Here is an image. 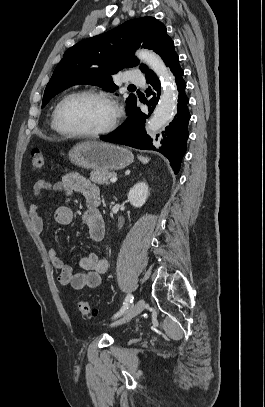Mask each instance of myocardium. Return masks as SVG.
Here are the masks:
<instances>
[{
    "label": "myocardium",
    "instance_id": "myocardium-1",
    "mask_svg": "<svg viewBox=\"0 0 265 407\" xmlns=\"http://www.w3.org/2000/svg\"><path fill=\"white\" fill-rule=\"evenodd\" d=\"M78 96L93 97V98H97V99H100V100L106 102L112 109V118H111V121L109 122V124L106 127L102 128L100 130H97V131H93V132H77V131H71V130L66 129L63 126L62 121H61L62 107L69 99H71L73 97H78ZM119 118H120V111H119V108H118L116 102L107 94H105L103 92L95 91V90H78V91L71 92L60 100V102L57 104V106L54 110V122H55L57 131L60 134L67 136V137H71V138H97V137L107 135L116 129L118 122H119Z\"/></svg>",
    "mask_w": 265,
    "mask_h": 407
}]
</instances>
